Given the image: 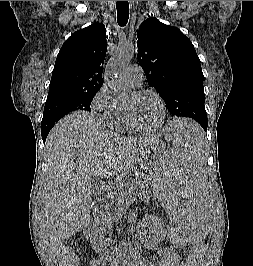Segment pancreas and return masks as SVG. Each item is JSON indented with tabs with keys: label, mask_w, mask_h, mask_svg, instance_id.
Returning a JSON list of instances; mask_svg holds the SVG:
<instances>
[{
	"label": "pancreas",
	"mask_w": 253,
	"mask_h": 266,
	"mask_svg": "<svg viewBox=\"0 0 253 266\" xmlns=\"http://www.w3.org/2000/svg\"><path fill=\"white\" fill-rule=\"evenodd\" d=\"M149 182L147 175L140 174L125 189L116 191L112 197L113 200L107 201L105 208L98 215L101 217L103 227H112L115 217H119L123 209L129 206L131 201H134L136 197H139L141 201H149Z\"/></svg>",
	"instance_id": "1"
}]
</instances>
